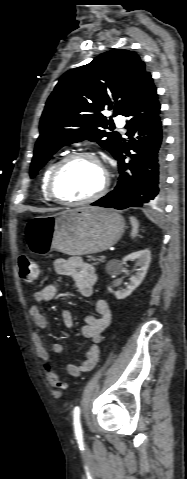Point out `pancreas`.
<instances>
[{
    "mask_svg": "<svg viewBox=\"0 0 187 479\" xmlns=\"http://www.w3.org/2000/svg\"><path fill=\"white\" fill-rule=\"evenodd\" d=\"M90 259H91L92 261H94V263H93L94 265H97V264H99V263H101V262L104 261L101 257H93V256H91Z\"/></svg>",
    "mask_w": 187,
    "mask_h": 479,
    "instance_id": "pancreas-1",
    "label": "pancreas"
}]
</instances>
